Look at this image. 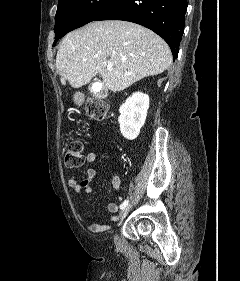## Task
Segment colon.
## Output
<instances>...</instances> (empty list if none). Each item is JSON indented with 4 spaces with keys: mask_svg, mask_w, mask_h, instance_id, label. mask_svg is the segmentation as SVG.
Wrapping results in <instances>:
<instances>
[{
    "mask_svg": "<svg viewBox=\"0 0 240 281\" xmlns=\"http://www.w3.org/2000/svg\"><path fill=\"white\" fill-rule=\"evenodd\" d=\"M88 117L96 120L103 119L108 111V105L102 100H90L84 107ZM86 155L82 142L78 139L72 140L66 149L64 163L68 168H79L85 163Z\"/></svg>",
    "mask_w": 240,
    "mask_h": 281,
    "instance_id": "1",
    "label": "colon"
}]
</instances>
